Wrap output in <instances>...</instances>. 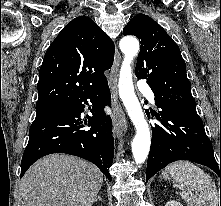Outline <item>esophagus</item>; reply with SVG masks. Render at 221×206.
<instances>
[{
	"mask_svg": "<svg viewBox=\"0 0 221 206\" xmlns=\"http://www.w3.org/2000/svg\"><path fill=\"white\" fill-rule=\"evenodd\" d=\"M120 62H121V55L119 51L116 49L114 63L111 68V75H110L109 83H110L112 99H113V129H114L115 135L118 138L121 137L127 129L126 116H125L122 106L120 105L118 101V94H117V81H118V72H119Z\"/></svg>",
	"mask_w": 221,
	"mask_h": 206,
	"instance_id": "esophagus-1",
	"label": "esophagus"
}]
</instances>
